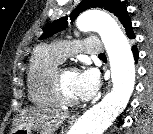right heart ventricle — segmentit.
<instances>
[{
    "instance_id": "obj_1",
    "label": "right heart ventricle",
    "mask_w": 153,
    "mask_h": 134,
    "mask_svg": "<svg viewBox=\"0 0 153 134\" xmlns=\"http://www.w3.org/2000/svg\"><path fill=\"white\" fill-rule=\"evenodd\" d=\"M62 60L49 46H38L29 61L27 86L30 100L37 106L55 108L61 105L53 83L54 72Z\"/></svg>"
}]
</instances>
